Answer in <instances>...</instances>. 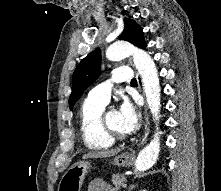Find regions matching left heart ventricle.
I'll list each match as a JSON object with an SVG mask.
<instances>
[{
    "instance_id": "b2bd125f",
    "label": "left heart ventricle",
    "mask_w": 221,
    "mask_h": 191,
    "mask_svg": "<svg viewBox=\"0 0 221 191\" xmlns=\"http://www.w3.org/2000/svg\"><path fill=\"white\" fill-rule=\"evenodd\" d=\"M107 121H108L109 125L112 128H114L115 130H117V131H119L121 133H124L123 130L121 129V125H120V115H119V112H117V111L110 112L108 117H107Z\"/></svg>"
}]
</instances>
